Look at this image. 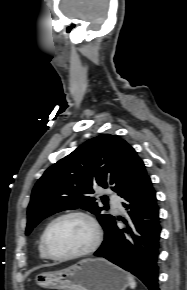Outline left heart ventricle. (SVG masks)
<instances>
[{"mask_svg": "<svg viewBox=\"0 0 187 290\" xmlns=\"http://www.w3.org/2000/svg\"><path fill=\"white\" fill-rule=\"evenodd\" d=\"M90 225L80 217H68L57 222L49 234V246L56 255H67L86 249L92 242Z\"/></svg>", "mask_w": 187, "mask_h": 290, "instance_id": "obj_1", "label": "left heart ventricle"}]
</instances>
